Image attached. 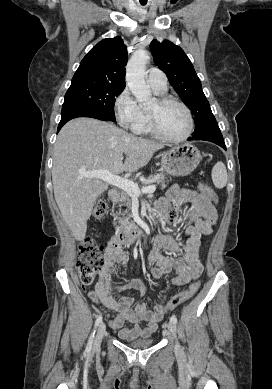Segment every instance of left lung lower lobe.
<instances>
[{
  "label": "left lung lower lobe",
  "instance_id": "left-lung-lower-lobe-1",
  "mask_svg": "<svg viewBox=\"0 0 272 389\" xmlns=\"http://www.w3.org/2000/svg\"><path fill=\"white\" fill-rule=\"evenodd\" d=\"M188 140L210 141V142H213V143L221 146L223 149L226 150L223 136L221 134V131H220L217 123L212 124L210 127L206 128L200 134L195 135V136H191Z\"/></svg>",
  "mask_w": 272,
  "mask_h": 389
}]
</instances>
